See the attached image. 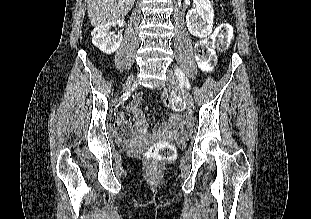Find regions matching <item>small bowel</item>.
Instances as JSON below:
<instances>
[{
    "label": "small bowel",
    "instance_id": "small-bowel-1",
    "mask_svg": "<svg viewBox=\"0 0 311 219\" xmlns=\"http://www.w3.org/2000/svg\"><path fill=\"white\" fill-rule=\"evenodd\" d=\"M141 102V95L137 94L128 104V110L133 115L134 124L131 131H120L121 140H125L126 136L129 134L132 136L131 142H136L142 140L147 136L148 122L144 118L143 113L139 109V104ZM119 124H125V118L122 115ZM189 130V123L187 119L182 116L174 114L171 115L169 119V124H162L155 129L154 134L160 135L165 134L166 136L174 138H183Z\"/></svg>",
    "mask_w": 311,
    "mask_h": 219
}]
</instances>
